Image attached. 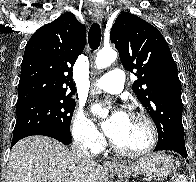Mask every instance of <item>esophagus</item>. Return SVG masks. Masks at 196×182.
<instances>
[{"label":"esophagus","mask_w":196,"mask_h":182,"mask_svg":"<svg viewBox=\"0 0 196 182\" xmlns=\"http://www.w3.org/2000/svg\"><path fill=\"white\" fill-rule=\"evenodd\" d=\"M102 18H103V13L101 9L95 8L92 13V20L96 23H99L102 20ZM105 165L108 167H118L117 163L109 162V161L106 162Z\"/></svg>","instance_id":"obj_1"}]
</instances>
